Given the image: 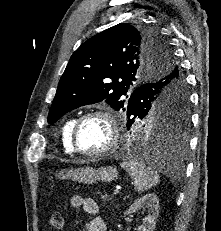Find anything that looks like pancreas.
<instances>
[{
	"label": "pancreas",
	"mask_w": 221,
	"mask_h": 231,
	"mask_svg": "<svg viewBox=\"0 0 221 231\" xmlns=\"http://www.w3.org/2000/svg\"><path fill=\"white\" fill-rule=\"evenodd\" d=\"M101 199L103 201H110L111 200V198L109 196H107V195H101Z\"/></svg>",
	"instance_id": "pancreas-1"
}]
</instances>
